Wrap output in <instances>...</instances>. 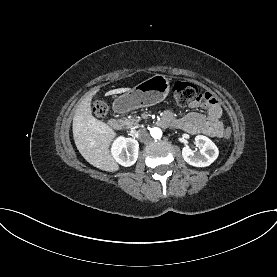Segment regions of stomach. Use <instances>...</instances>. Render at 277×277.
<instances>
[{"instance_id":"obj_1","label":"stomach","mask_w":277,"mask_h":277,"mask_svg":"<svg viewBox=\"0 0 277 277\" xmlns=\"http://www.w3.org/2000/svg\"><path fill=\"white\" fill-rule=\"evenodd\" d=\"M169 90V79L165 75L156 74L119 96L113 103V109L126 113L133 109L155 105L166 98Z\"/></svg>"}]
</instances>
